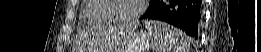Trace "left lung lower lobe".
I'll list each match as a JSON object with an SVG mask.
<instances>
[{
    "instance_id": "0a47b994",
    "label": "left lung lower lobe",
    "mask_w": 261,
    "mask_h": 52,
    "mask_svg": "<svg viewBox=\"0 0 261 52\" xmlns=\"http://www.w3.org/2000/svg\"><path fill=\"white\" fill-rule=\"evenodd\" d=\"M202 0H152L140 19L165 21L197 39L202 20Z\"/></svg>"
}]
</instances>
